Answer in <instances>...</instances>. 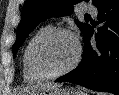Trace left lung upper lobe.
Returning a JSON list of instances; mask_svg holds the SVG:
<instances>
[{
  "instance_id": "1",
  "label": "left lung upper lobe",
  "mask_w": 119,
  "mask_h": 95,
  "mask_svg": "<svg viewBox=\"0 0 119 95\" xmlns=\"http://www.w3.org/2000/svg\"><path fill=\"white\" fill-rule=\"evenodd\" d=\"M82 0H26L22 9V20L18 27L16 42L13 46V55L32 30L42 21L50 17H61L72 14L73 5ZM89 1V0H85ZM94 6H98L103 0H91ZM83 35L89 27L87 23L75 21Z\"/></svg>"
}]
</instances>
